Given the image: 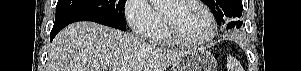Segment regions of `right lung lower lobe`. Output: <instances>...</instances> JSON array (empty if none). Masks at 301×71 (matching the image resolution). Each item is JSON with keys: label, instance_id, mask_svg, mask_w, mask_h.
I'll list each match as a JSON object with an SVG mask.
<instances>
[{"label": "right lung lower lobe", "instance_id": "1", "mask_svg": "<svg viewBox=\"0 0 301 71\" xmlns=\"http://www.w3.org/2000/svg\"><path fill=\"white\" fill-rule=\"evenodd\" d=\"M76 21H93V22H97V23L102 24V25H106V26H110V27L119 29L117 24L113 23L112 21H110L108 19L102 18L100 16H97V15H80V16H77V17H74V18H71V19H68V20L61 21V22H55V24L53 26V29L51 31V34H50L51 41L53 40L55 35L62 28H64L68 24L76 22Z\"/></svg>", "mask_w": 301, "mask_h": 71}]
</instances>
